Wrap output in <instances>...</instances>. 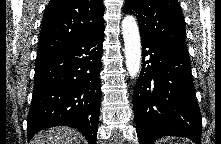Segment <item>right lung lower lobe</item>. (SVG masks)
<instances>
[{
  "instance_id": "1",
  "label": "right lung lower lobe",
  "mask_w": 221,
  "mask_h": 144,
  "mask_svg": "<svg viewBox=\"0 0 221 144\" xmlns=\"http://www.w3.org/2000/svg\"><path fill=\"white\" fill-rule=\"evenodd\" d=\"M103 39L104 29L36 60L28 140L40 130L69 126L96 143Z\"/></svg>"
}]
</instances>
